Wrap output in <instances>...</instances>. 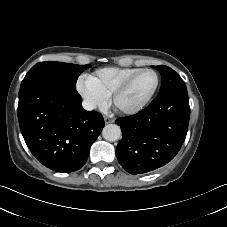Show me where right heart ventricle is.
Instances as JSON below:
<instances>
[{"label": "right heart ventricle", "mask_w": 227, "mask_h": 227, "mask_svg": "<svg viewBox=\"0 0 227 227\" xmlns=\"http://www.w3.org/2000/svg\"><path fill=\"white\" fill-rule=\"evenodd\" d=\"M141 69L138 67H107L99 69L94 75L88 78L101 91L110 96L121 83Z\"/></svg>", "instance_id": "obj_1"}]
</instances>
